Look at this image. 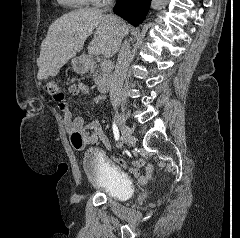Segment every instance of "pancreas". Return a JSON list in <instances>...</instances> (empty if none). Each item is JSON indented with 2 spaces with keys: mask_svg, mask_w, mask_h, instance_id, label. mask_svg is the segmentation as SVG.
I'll use <instances>...</instances> for the list:
<instances>
[{
  "mask_svg": "<svg viewBox=\"0 0 240 238\" xmlns=\"http://www.w3.org/2000/svg\"><path fill=\"white\" fill-rule=\"evenodd\" d=\"M96 67H99V66L96 65ZM109 69H110V68H109ZM109 69L103 70V68L101 67V71H102L103 74L100 73V74H98V75H96V76L94 77L95 85L100 86V85L102 84V82H103V76L107 73V71H108Z\"/></svg>",
  "mask_w": 240,
  "mask_h": 238,
  "instance_id": "1",
  "label": "pancreas"
}]
</instances>
